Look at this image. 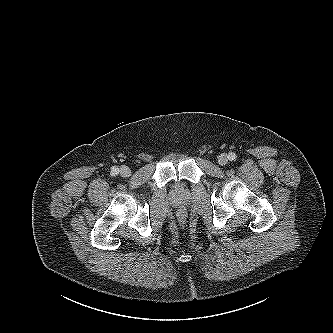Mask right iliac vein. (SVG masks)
<instances>
[{"label":"right iliac vein","instance_id":"obj_1","mask_svg":"<svg viewBox=\"0 0 333 333\" xmlns=\"http://www.w3.org/2000/svg\"><path fill=\"white\" fill-rule=\"evenodd\" d=\"M120 175L123 177H129L131 175V170L126 167V166H122L119 170Z\"/></svg>","mask_w":333,"mask_h":333}]
</instances>
